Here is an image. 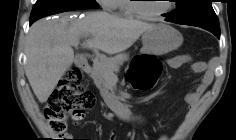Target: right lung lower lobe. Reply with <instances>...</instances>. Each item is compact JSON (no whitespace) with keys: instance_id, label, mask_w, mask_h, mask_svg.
<instances>
[{"instance_id":"1","label":"right lung lower lobe","mask_w":236,"mask_h":140,"mask_svg":"<svg viewBox=\"0 0 236 140\" xmlns=\"http://www.w3.org/2000/svg\"><path fill=\"white\" fill-rule=\"evenodd\" d=\"M34 21H30V25L33 23Z\"/></svg>"}]
</instances>
